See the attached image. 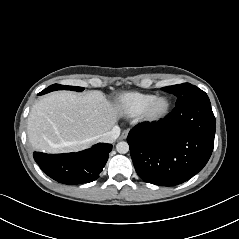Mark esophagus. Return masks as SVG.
Here are the masks:
<instances>
[{"label": "esophagus", "instance_id": "obj_1", "mask_svg": "<svg viewBox=\"0 0 239 239\" xmlns=\"http://www.w3.org/2000/svg\"><path fill=\"white\" fill-rule=\"evenodd\" d=\"M128 133H129V131H128V130H124V131L122 132V134H121L120 138H121V139H126V138H127V136H128Z\"/></svg>", "mask_w": 239, "mask_h": 239}]
</instances>
